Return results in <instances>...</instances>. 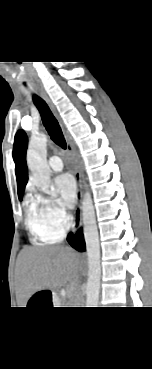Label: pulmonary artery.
<instances>
[{
	"label": "pulmonary artery",
	"instance_id": "obj_1",
	"mask_svg": "<svg viewBox=\"0 0 152 369\" xmlns=\"http://www.w3.org/2000/svg\"><path fill=\"white\" fill-rule=\"evenodd\" d=\"M48 164L53 171H61L63 169L62 159L57 155L51 156L48 160Z\"/></svg>",
	"mask_w": 152,
	"mask_h": 369
}]
</instances>
